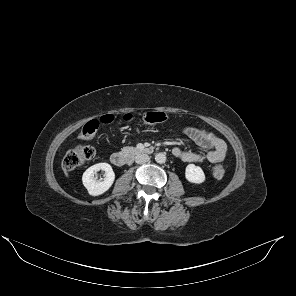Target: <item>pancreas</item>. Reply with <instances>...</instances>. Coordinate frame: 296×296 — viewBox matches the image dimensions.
<instances>
[{"mask_svg":"<svg viewBox=\"0 0 296 296\" xmlns=\"http://www.w3.org/2000/svg\"><path fill=\"white\" fill-rule=\"evenodd\" d=\"M137 149L135 147H124L122 148V152L123 153H132V152H136Z\"/></svg>","mask_w":296,"mask_h":296,"instance_id":"obj_1","label":"pancreas"}]
</instances>
